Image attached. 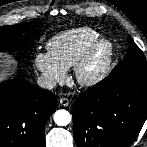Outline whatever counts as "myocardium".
<instances>
[{"label":"myocardium","instance_id":"myocardium-1","mask_svg":"<svg viewBox=\"0 0 147 147\" xmlns=\"http://www.w3.org/2000/svg\"><path fill=\"white\" fill-rule=\"evenodd\" d=\"M101 47L105 48L103 61L97 69L89 72L88 68ZM114 54L115 47L111 39L99 36L92 41L74 66L77 82L82 86L90 87L102 81L112 68Z\"/></svg>","mask_w":147,"mask_h":147}]
</instances>
